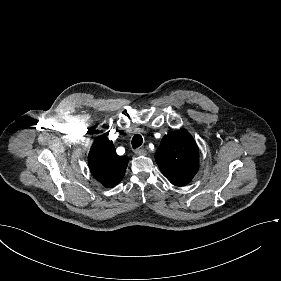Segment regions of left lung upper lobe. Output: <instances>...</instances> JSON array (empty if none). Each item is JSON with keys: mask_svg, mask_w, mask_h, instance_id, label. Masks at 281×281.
<instances>
[{"mask_svg": "<svg viewBox=\"0 0 281 281\" xmlns=\"http://www.w3.org/2000/svg\"><path fill=\"white\" fill-rule=\"evenodd\" d=\"M155 160L162 174L172 184L184 186L198 171V147L185 129L174 131L163 138Z\"/></svg>", "mask_w": 281, "mask_h": 281, "instance_id": "left-lung-upper-lobe-1", "label": "left lung upper lobe"}]
</instances>
